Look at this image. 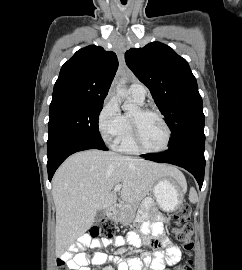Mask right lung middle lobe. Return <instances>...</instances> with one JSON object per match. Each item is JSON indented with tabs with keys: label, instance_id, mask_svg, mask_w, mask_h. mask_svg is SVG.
<instances>
[{
	"label": "right lung middle lobe",
	"instance_id": "right-lung-middle-lobe-1",
	"mask_svg": "<svg viewBox=\"0 0 242 270\" xmlns=\"http://www.w3.org/2000/svg\"><path fill=\"white\" fill-rule=\"evenodd\" d=\"M103 102L65 103L50 106L47 149L68 140L104 144L98 129Z\"/></svg>",
	"mask_w": 242,
	"mask_h": 270
}]
</instances>
